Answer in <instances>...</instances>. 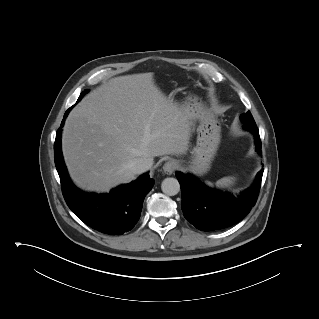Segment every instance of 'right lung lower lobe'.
Listing matches in <instances>:
<instances>
[{
    "instance_id": "98d812e1",
    "label": "right lung lower lobe",
    "mask_w": 319,
    "mask_h": 319,
    "mask_svg": "<svg viewBox=\"0 0 319 319\" xmlns=\"http://www.w3.org/2000/svg\"><path fill=\"white\" fill-rule=\"evenodd\" d=\"M72 107L64 115L54 144L55 165L64 199L71 211L91 228L105 234H123L131 230L139 220L143 200L153 187L154 180L146 173L107 194H89L78 190L68 176L61 152L62 126Z\"/></svg>"
}]
</instances>
